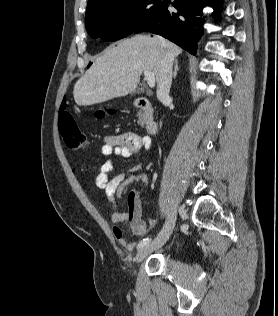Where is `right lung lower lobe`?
<instances>
[{"label": "right lung lower lobe", "instance_id": "obj_1", "mask_svg": "<svg viewBox=\"0 0 278 316\" xmlns=\"http://www.w3.org/2000/svg\"><path fill=\"white\" fill-rule=\"evenodd\" d=\"M165 1H160L151 18L134 32L161 35L195 55L197 42L203 34L202 9L210 5L214 9L213 17L220 19L222 0H175L171 4ZM172 6L177 9L176 13L171 11Z\"/></svg>", "mask_w": 278, "mask_h": 316}]
</instances>
